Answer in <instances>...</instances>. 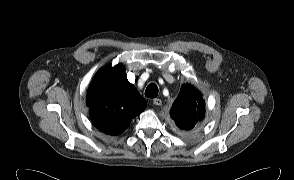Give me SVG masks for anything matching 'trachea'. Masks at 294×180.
Wrapping results in <instances>:
<instances>
[{
	"mask_svg": "<svg viewBox=\"0 0 294 180\" xmlns=\"http://www.w3.org/2000/svg\"><path fill=\"white\" fill-rule=\"evenodd\" d=\"M158 95V87L155 83H151L145 90V96L149 98H155Z\"/></svg>",
	"mask_w": 294,
	"mask_h": 180,
	"instance_id": "trachea-1",
	"label": "trachea"
}]
</instances>
